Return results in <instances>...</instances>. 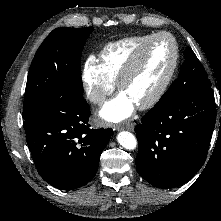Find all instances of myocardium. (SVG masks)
Returning <instances> with one entry per match:
<instances>
[{"label": "myocardium", "mask_w": 221, "mask_h": 221, "mask_svg": "<svg viewBox=\"0 0 221 221\" xmlns=\"http://www.w3.org/2000/svg\"><path fill=\"white\" fill-rule=\"evenodd\" d=\"M161 37H167L172 42L173 45L172 62L166 76L164 77L163 81L156 89V91L146 101L137 105V108L140 110L150 109L153 106H155L162 99L173 79L179 61V47L175 37L168 32H158L152 35L136 50V52L131 57V59L129 60V62L127 63L126 67L124 68V70L122 71V73L120 74L117 80L118 90L122 92L125 84L129 80H131L139 71L144 60V55L147 49L149 48V46Z\"/></svg>", "instance_id": "1"}]
</instances>
